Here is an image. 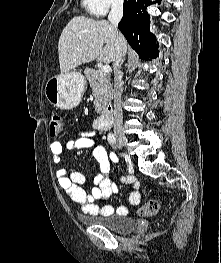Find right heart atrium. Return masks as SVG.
I'll return each mask as SVG.
<instances>
[{"mask_svg":"<svg viewBox=\"0 0 221 263\" xmlns=\"http://www.w3.org/2000/svg\"><path fill=\"white\" fill-rule=\"evenodd\" d=\"M124 0H90L89 12L93 15L103 16L110 9L117 8L123 4Z\"/></svg>","mask_w":221,"mask_h":263,"instance_id":"d8ad5b80","label":"right heart atrium"}]
</instances>
